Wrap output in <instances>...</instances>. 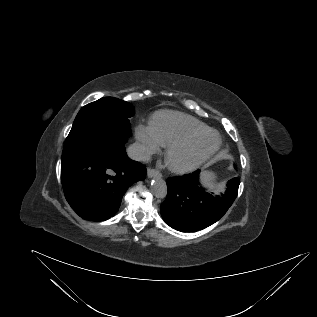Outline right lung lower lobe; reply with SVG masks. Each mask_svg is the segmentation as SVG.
Returning <instances> with one entry per match:
<instances>
[{
  "label": "right lung lower lobe",
  "mask_w": 317,
  "mask_h": 317,
  "mask_svg": "<svg viewBox=\"0 0 317 317\" xmlns=\"http://www.w3.org/2000/svg\"><path fill=\"white\" fill-rule=\"evenodd\" d=\"M145 177V166L126 155L121 140H102L84 153L61 161L68 203L79 216L92 221L115 215L128 187Z\"/></svg>",
  "instance_id": "right-lung-lower-lobe-1"
}]
</instances>
